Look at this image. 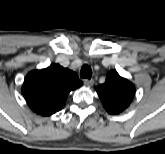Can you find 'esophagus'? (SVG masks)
I'll use <instances>...</instances> for the list:
<instances>
[{
  "label": "esophagus",
  "mask_w": 165,
  "mask_h": 154,
  "mask_svg": "<svg viewBox=\"0 0 165 154\" xmlns=\"http://www.w3.org/2000/svg\"><path fill=\"white\" fill-rule=\"evenodd\" d=\"M83 82L88 87L93 85V80H90V79H84Z\"/></svg>",
  "instance_id": "1"
}]
</instances>
